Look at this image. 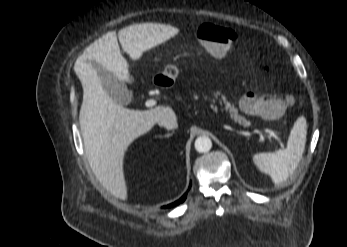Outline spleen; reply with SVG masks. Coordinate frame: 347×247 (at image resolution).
<instances>
[{
  "instance_id": "obj_1",
  "label": "spleen",
  "mask_w": 347,
  "mask_h": 247,
  "mask_svg": "<svg viewBox=\"0 0 347 247\" xmlns=\"http://www.w3.org/2000/svg\"><path fill=\"white\" fill-rule=\"evenodd\" d=\"M307 136V123L304 117H299L291 130L287 147L275 152L255 154L253 161L264 173L271 176L277 185L285 182L297 169L303 156Z\"/></svg>"
}]
</instances>
